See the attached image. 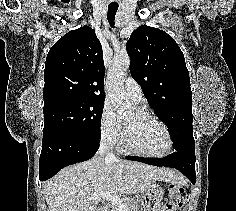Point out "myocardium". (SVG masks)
Segmentation results:
<instances>
[{"label":"myocardium","mask_w":236,"mask_h":211,"mask_svg":"<svg viewBox=\"0 0 236 211\" xmlns=\"http://www.w3.org/2000/svg\"><path fill=\"white\" fill-rule=\"evenodd\" d=\"M136 112L142 117L154 120L155 122H157L164 129V131L166 133V136H167V147H166L165 151H163L160 154L146 153V152H143V151L137 149L133 145V143L130 139L129 131H128L127 125L125 123L123 124L124 125L123 146L128 151H130L134 154L143 156V157H150V158H163V157H166L172 151V148H173V138H172V135H171V132H170L168 126L159 117H157L155 114H153L152 112H150L148 110L137 109Z\"/></svg>","instance_id":"myocardium-1"}]
</instances>
